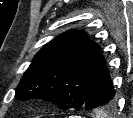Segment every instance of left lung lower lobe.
I'll list each match as a JSON object with an SVG mask.
<instances>
[{"label": "left lung lower lobe", "instance_id": "0a47b994", "mask_svg": "<svg viewBox=\"0 0 133 118\" xmlns=\"http://www.w3.org/2000/svg\"><path fill=\"white\" fill-rule=\"evenodd\" d=\"M115 101V90L109 74L108 67L106 66L97 82L91 89L84 107L86 109H93L103 107L108 110V105ZM111 109V108H110Z\"/></svg>", "mask_w": 133, "mask_h": 118}]
</instances>
